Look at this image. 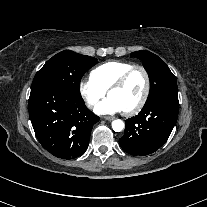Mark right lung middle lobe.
<instances>
[{"mask_svg":"<svg viewBox=\"0 0 207 207\" xmlns=\"http://www.w3.org/2000/svg\"><path fill=\"white\" fill-rule=\"evenodd\" d=\"M95 64L97 59L90 56L69 50L62 51L49 59L37 72L31 90L39 87H57L81 97V78Z\"/></svg>","mask_w":207,"mask_h":207,"instance_id":"1","label":"right lung middle lobe"}]
</instances>
